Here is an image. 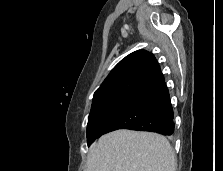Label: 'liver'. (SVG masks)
Here are the masks:
<instances>
[{"mask_svg": "<svg viewBox=\"0 0 223 171\" xmlns=\"http://www.w3.org/2000/svg\"><path fill=\"white\" fill-rule=\"evenodd\" d=\"M176 159L162 135L121 129L91 145L85 171H175Z\"/></svg>", "mask_w": 223, "mask_h": 171, "instance_id": "obj_1", "label": "liver"}]
</instances>
